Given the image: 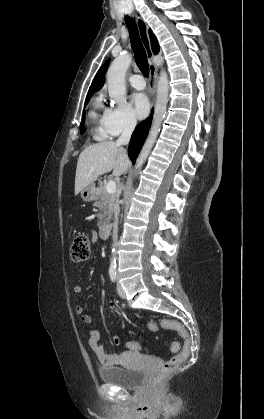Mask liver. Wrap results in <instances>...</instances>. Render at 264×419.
<instances>
[{
	"label": "liver",
	"instance_id": "liver-1",
	"mask_svg": "<svg viewBox=\"0 0 264 419\" xmlns=\"http://www.w3.org/2000/svg\"><path fill=\"white\" fill-rule=\"evenodd\" d=\"M131 163L124 148L114 141H103L84 149L79 155L75 175V195L97 178L113 170L119 177L128 171Z\"/></svg>",
	"mask_w": 264,
	"mask_h": 419
}]
</instances>
